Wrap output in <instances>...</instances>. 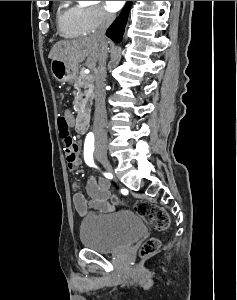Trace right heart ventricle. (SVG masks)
I'll use <instances>...</instances> for the list:
<instances>
[{"instance_id": "obj_1", "label": "right heart ventricle", "mask_w": 237, "mask_h": 300, "mask_svg": "<svg viewBox=\"0 0 237 300\" xmlns=\"http://www.w3.org/2000/svg\"><path fill=\"white\" fill-rule=\"evenodd\" d=\"M80 8L73 6L71 1H60L57 9L58 29L64 36L81 34L79 25Z\"/></svg>"}]
</instances>
